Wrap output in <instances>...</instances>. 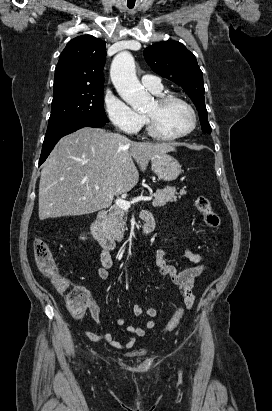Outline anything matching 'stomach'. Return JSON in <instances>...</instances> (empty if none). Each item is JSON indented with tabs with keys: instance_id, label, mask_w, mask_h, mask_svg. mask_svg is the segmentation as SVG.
Returning <instances> with one entry per match:
<instances>
[{
	"instance_id": "obj_1",
	"label": "stomach",
	"mask_w": 272,
	"mask_h": 411,
	"mask_svg": "<svg viewBox=\"0 0 272 411\" xmlns=\"http://www.w3.org/2000/svg\"><path fill=\"white\" fill-rule=\"evenodd\" d=\"M151 168L159 179L166 182L175 180L181 173L179 162L168 154L151 158Z\"/></svg>"
}]
</instances>
